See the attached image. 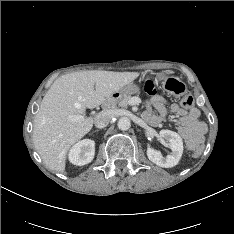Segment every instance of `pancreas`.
Wrapping results in <instances>:
<instances>
[{"instance_id":"1","label":"pancreas","mask_w":234,"mask_h":234,"mask_svg":"<svg viewBox=\"0 0 234 234\" xmlns=\"http://www.w3.org/2000/svg\"><path fill=\"white\" fill-rule=\"evenodd\" d=\"M131 99V96L130 95H125L123 97H121L118 101L116 102H111V103H107L106 104V107L107 108H116L117 106L118 107H121V108H127L128 105H129V100Z\"/></svg>"}]
</instances>
